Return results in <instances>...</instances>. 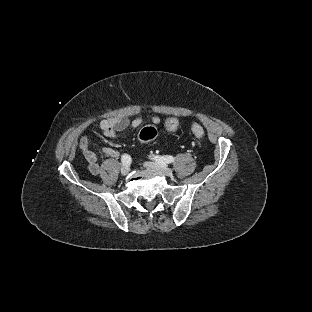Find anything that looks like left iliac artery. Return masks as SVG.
<instances>
[{"mask_svg":"<svg viewBox=\"0 0 312 312\" xmlns=\"http://www.w3.org/2000/svg\"><path fill=\"white\" fill-rule=\"evenodd\" d=\"M153 159L160 165L172 163L175 160L173 156H169V155H167V156H154Z\"/></svg>","mask_w":312,"mask_h":312,"instance_id":"left-iliac-artery-1","label":"left iliac artery"}]
</instances>
